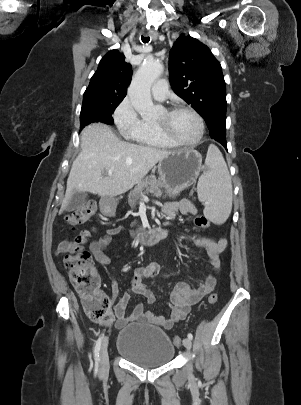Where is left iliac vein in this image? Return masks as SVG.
<instances>
[{"instance_id": "left-iliac-vein-1", "label": "left iliac vein", "mask_w": 301, "mask_h": 405, "mask_svg": "<svg viewBox=\"0 0 301 405\" xmlns=\"http://www.w3.org/2000/svg\"><path fill=\"white\" fill-rule=\"evenodd\" d=\"M183 345L187 350H190L191 347H192V342H191V340L189 338H185L183 340Z\"/></svg>"}]
</instances>
